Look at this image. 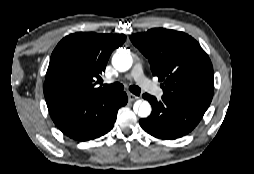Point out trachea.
Masks as SVG:
<instances>
[{"mask_svg": "<svg viewBox=\"0 0 254 174\" xmlns=\"http://www.w3.org/2000/svg\"><path fill=\"white\" fill-rule=\"evenodd\" d=\"M104 87L107 88L112 93L120 92L124 89V86L121 83H113L110 85L105 84ZM129 90L137 96H139L141 92V89L135 85L130 86Z\"/></svg>", "mask_w": 254, "mask_h": 174, "instance_id": "3493384b", "label": "trachea"}]
</instances>
